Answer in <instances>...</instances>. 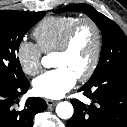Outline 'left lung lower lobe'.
<instances>
[{"label": "left lung lower lobe", "mask_w": 127, "mask_h": 127, "mask_svg": "<svg viewBox=\"0 0 127 127\" xmlns=\"http://www.w3.org/2000/svg\"><path fill=\"white\" fill-rule=\"evenodd\" d=\"M78 91L92 100L72 99L74 114L66 127H126L127 68H115L89 80Z\"/></svg>", "instance_id": "left-lung-lower-lobe-1"}]
</instances>
